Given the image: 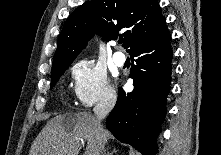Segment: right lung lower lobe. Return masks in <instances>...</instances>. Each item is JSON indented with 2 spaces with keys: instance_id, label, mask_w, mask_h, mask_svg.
<instances>
[{
  "instance_id": "1",
  "label": "right lung lower lobe",
  "mask_w": 221,
  "mask_h": 155,
  "mask_svg": "<svg viewBox=\"0 0 221 155\" xmlns=\"http://www.w3.org/2000/svg\"><path fill=\"white\" fill-rule=\"evenodd\" d=\"M171 35L165 25L143 35L130 49L136 58L130 73L134 90L119 88L117 103L106 120V127L121 142L135 147L142 155L157 153L156 139L165 117L170 88Z\"/></svg>"
}]
</instances>
